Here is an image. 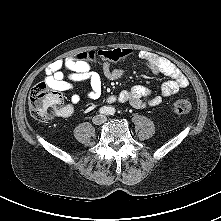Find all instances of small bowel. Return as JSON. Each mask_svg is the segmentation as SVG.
I'll return each instance as SVG.
<instances>
[{"mask_svg":"<svg viewBox=\"0 0 221 221\" xmlns=\"http://www.w3.org/2000/svg\"><path fill=\"white\" fill-rule=\"evenodd\" d=\"M138 57L153 74H163L170 80L162 85L160 95L153 94L145 86L137 85L122 91L118 95L119 101L129 102L135 108L154 107L159 105L164 97L173 95L189 85L187 77L168 59L147 51H140ZM64 69L69 71L67 75L64 73ZM127 71V68H112L107 62L102 64V75L111 81L122 78ZM102 75L93 70L86 62L78 61L75 56H71L55 60L50 64L46 69L45 83L54 90L71 92L75 83L87 81L90 89L86 92L85 97L89 100H97L102 94ZM81 99L80 94L72 93L69 103L62 109L61 115L70 117Z\"/></svg>","mask_w":221,"mask_h":221,"instance_id":"obj_1","label":"small bowel"}]
</instances>
